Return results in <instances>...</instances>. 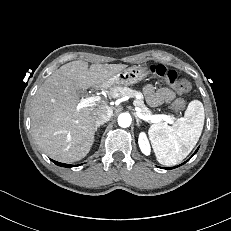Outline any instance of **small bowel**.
I'll use <instances>...</instances> for the list:
<instances>
[{"mask_svg":"<svg viewBox=\"0 0 231 231\" xmlns=\"http://www.w3.org/2000/svg\"><path fill=\"white\" fill-rule=\"evenodd\" d=\"M144 94L147 101L154 106L170 103L175 98L173 90L169 88H160L156 90L152 85L145 86Z\"/></svg>","mask_w":231,"mask_h":231,"instance_id":"1","label":"small bowel"}]
</instances>
